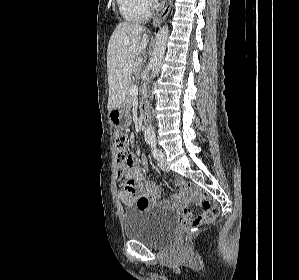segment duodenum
Returning a JSON list of instances; mask_svg holds the SVG:
<instances>
[{
	"instance_id": "duodenum-1",
	"label": "duodenum",
	"mask_w": 299,
	"mask_h": 280,
	"mask_svg": "<svg viewBox=\"0 0 299 280\" xmlns=\"http://www.w3.org/2000/svg\"><path fill=\"white\" fill-rule=\"evenodd\" d=\"M141 115L144 121V124H147L149 121V111L146 102H142L141 104Z\"/></svg>"
}]
</instances>
